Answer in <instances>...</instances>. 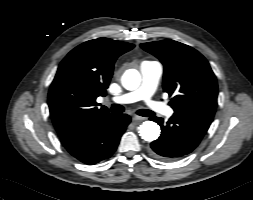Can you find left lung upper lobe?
Instances as JSON below:
<instances>
[{
	"label": "left lung upper lobe",
	"instance_id": "5c2ea615",
	"mask_svg": "<svg viewBox=\"0 0 253 200\" xmlns=\"http://www.w3.org/2000/svg\"><path fill=\"white\" fill-rule=\"evenodd\" d=\"M164 65L163 88L175 113L211 124L217 107V82L207 60L192 47L173 40L142 43Z\"/></svg>",
	"mask_w": 253,
	"mask_h": 200
}]
</instances>
